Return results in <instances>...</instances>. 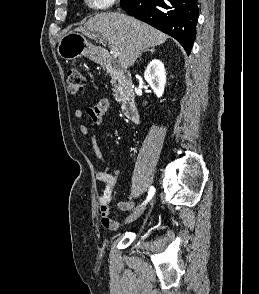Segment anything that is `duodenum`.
I'll use <instances>...</instances> for the list:
<instances>
[{
    "instance_id": "obj_1",
    "label": "duodenum",
    "mask_w": 259,
    "mask_h": 294,
    "mask_svg": "<svg viewBox=\"0 0 259 294\" xmlns=\"http://www.w3.org/2000/svg\"><path fill=\"white\" fill-rule=\"evenodd\" d=\"M100 62L116 79L119 88V100L124 116L132 122H139L135 92L131 84V73L115 68L103 52L100 54Z\"/></svg>"
}]
</instances>
